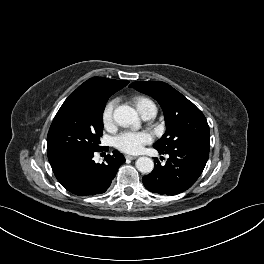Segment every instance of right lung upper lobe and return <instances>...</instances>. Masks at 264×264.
<instances>
[{"mask_svg": "<svg viewBox=\"0 0 264 264\" xmlns=\"http://www.w3.org/2000/svg\"><path fill=\"white\" fill-rule=\"evenodd\" d=\"M128 81H118L103 77H93L81 84L70 97L77 96L93 100H108L115 92L125 87Z\"/></svg>", "mask_w": 264, "mask_h": 264, "instance_id": "obj_1", "label": "right lung upper lobe"}]
</instances>
